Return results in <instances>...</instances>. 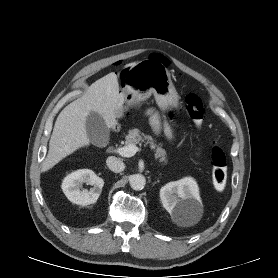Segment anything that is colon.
<instances>
[{
	"label": "colon",
	"mask_w": 278,
	"mask_h": 278,
	"mask_svg": "<svg viewBox=\"0 0 278 278\" xmlns=\"http://www.w3.org/2000/svg\"><path fill=\"white\" fill-rule=\"evenodd\" d=\"M186 111L195 126H202L205 116V105L203 100L196 94H188L185 99ZM212 182L217 191H223L227 181V161L223 148L217 144L210 151Z\"/></svg>",
	"instance_id": "colon-1"
}]
</instances>
